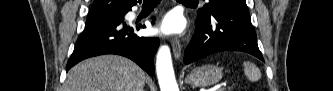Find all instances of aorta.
I'll list each match as a JSON object with an SVG mask.
<instances>
[{"label":"aorta","instance_id":"1","mask_svg":"<svg viewBox=\"0 0 333 91\" xmlns=\"http://www.w3.org/2000/svg\"><path fill=\"white\" fill-rule=\"evenodd\" d=\"M156 72L161 91H179L168 46H162L158 51Z\"/></svg>","mask_w":333,"mask_h":91}]
</instances>
